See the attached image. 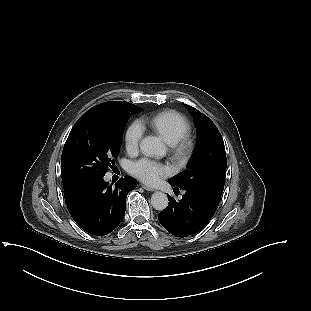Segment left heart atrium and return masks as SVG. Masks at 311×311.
I'll return each instance as SVG.
<instances>
[{
	"label": "left heart atrium",
	"mask_w": 311,
	"mask_h": 311,
	"mask_svg": "<svg viewBox=\"0 0 311 311\" xmlns=\"http://www.w3.org/2000/svg\"><path fill=\"white\" fill-rule=\"evenodd\" d=\"M130 170L133 175L146 183L156 182L167 173L164 165L146 157L133 162Z\"/></svg>",
	"instance_id": "left-heart-atrium-1"
}]
</instances>
